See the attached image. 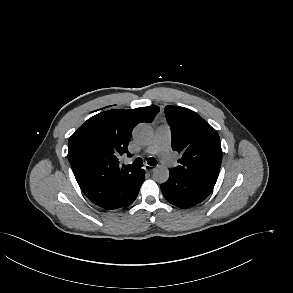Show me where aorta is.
<instances>
[{"instance_id": "aorta-1", "label": "aorta", "mask_w": 293, "mask_h": 293, "mask_svg": "<svg viewBox=\"0 0 293 293\" xmlns=\"http://www.w3.org/2000/svg\"><path fill=\"white\" fill-rule=\"evenodd\" d=\"M133 137L137 142L147 144L153 137V130L148 124L141 123L134 128ZM153 178L158 183H164L169 178V170L164 166H158L154 169Z\"/></svg>"}]
</instances>
